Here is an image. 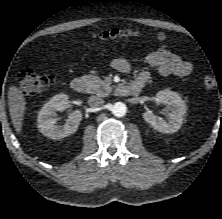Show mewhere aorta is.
<instances>
[{
  "label": "aorta",
  "instance_id": "aorta-1",
  "mask_svg": "<svg viewBox=\"0 0 222 219\" xmlns=\"http://www.w3.org/2000/svg\"><path fill=\"white\" fill-rule=\"evenodd\" d=\"M126 105L122 102H116L112 106V114L116 117H123L126 114Z\"/></svg>",
  "mask_w": 222,
  "mask_h": 219
}]
</instances>
